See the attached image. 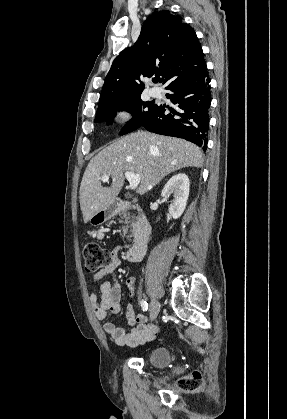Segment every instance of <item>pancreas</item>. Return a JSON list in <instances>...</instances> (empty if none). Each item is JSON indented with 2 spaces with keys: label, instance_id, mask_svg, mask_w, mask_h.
<instances>
[{
  "label": "pancreas",
  "instance_id": "obj_1",
  "mask_svg": "<svg viewBox=\"0 0 287 419\" xmlns=\"http://www.w3.org/2000/svg\"><path fill=\"white\" fill-rule=\"evenodd\" d=\"M122 218V231H123V238L126 237V234L129 232V228L132 227L133 229L136 226V219L134 216H131L130 214H127L126 211H123V213L119 214Z\"/></svg>",
  "mask_w": 287,
  "mask_h": 419
}]
</instances>
